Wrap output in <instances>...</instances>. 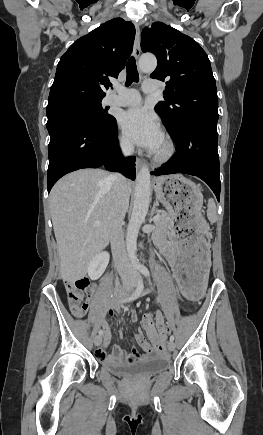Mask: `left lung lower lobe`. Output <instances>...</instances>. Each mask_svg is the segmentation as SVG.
I'll list each match as a JSON object with an SVG mask.
<instances>
[{"label":"left lung lower lobe","mask_w":263,"mask_h":435,"mask_svg":"<svg viewBox=\"0 0 263 435\" xmlns=\"http://www.w3.org/2000/svg\"><path fill=\"white\" fill-rule=\"evenodd\" d=\"M217 122L188 121L170 132L177 153L167 164L151 172L152 176L185 173L205 181L220 199V168L217 151Z\"/></svg>","instance_id":"left-lung-lower-lobe-1"}]
</instances>
